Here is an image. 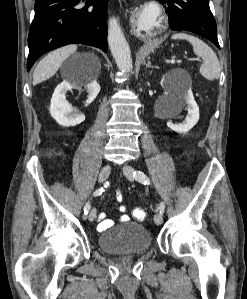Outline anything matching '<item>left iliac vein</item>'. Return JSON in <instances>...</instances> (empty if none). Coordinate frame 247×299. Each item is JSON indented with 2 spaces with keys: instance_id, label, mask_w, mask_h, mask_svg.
I'll return each mask as SVG.
<instances>
[{
  "instance_id": "left-iliac-vein-1",
  "label": "left iliac vein",
  "mask_w": 247,
  "mask_h": 299,
  "mask_svg": "<svg viewBox=\"0 0 247 299\" xmlns=\"http://www.w3.org/2000/svg\"><path fill=\"white\" fill-rule=\"evenodd\" d=\"M123 172L125 174V176L127 177L128 180L133 181V173H134V168L130 165H125L123 167ZM154 222L157 225H161L163 222V217L160 213H156L154 215Z\"/></svg>"
}]
</instances>
